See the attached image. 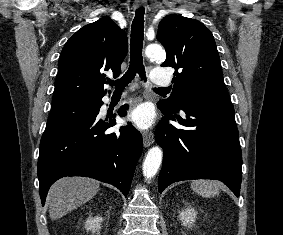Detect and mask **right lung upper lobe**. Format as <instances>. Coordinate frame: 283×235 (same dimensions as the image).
Masks as SVG:
<instances>
[{
	"mask_svg": "<svg viewBox=\"0 0 283 235\" xmlns=\"http://www.w3.org/2000/svg\"><path fill=\"white\" fill-rule=\"evenodd\" d=\"M127 51V35L110 17L82 27L62 49L53 103L102 98L106 93L103 72L118 76Z\"/></svg>",
	"mask_w": 283,
	"mask_h": 235,
	"instance_id": "1",
	"label": "right lung upper lobe"
}]
</instances>
